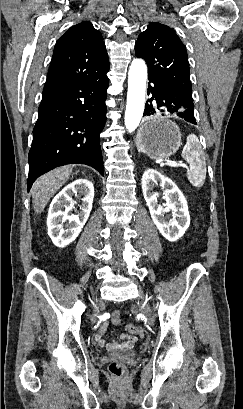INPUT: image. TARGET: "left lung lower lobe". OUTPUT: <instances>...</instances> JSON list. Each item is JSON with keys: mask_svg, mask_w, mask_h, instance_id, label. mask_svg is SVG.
I'll list each match as a JSON object with an SVG mask.
<instances>
[{"mask_svg": "<svg viewBox=\"0 0 243 409\" xmlns=\"http://www.w3.org/2000/svg\"><path fill=\"white\" fill-rule=\"evenodd\" d=\"M149 94L152 95V98L148 99L143 116H150L158 112L164 115L169 112L187 122L196 124L192 94L151 77H149ZM153 100L155 102L152 104Z\"/></svg>", "mask_w": 243, "mask_h": 409, "instance_id": "0a47b994", "label": "left lung lower lobe"}]
</instances>
